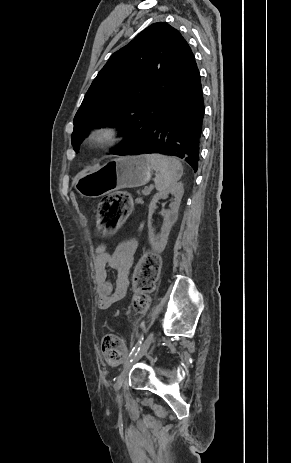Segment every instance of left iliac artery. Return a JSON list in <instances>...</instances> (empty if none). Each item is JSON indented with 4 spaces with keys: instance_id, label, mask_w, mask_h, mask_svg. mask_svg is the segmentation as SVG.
I'll list each match as a JSON object with an SVG mask.
<instances>
[{
    "instance_id": "1",
    "label": "left iliac artery",
    "mask_w": 291,
    "mask_h": 463,
    "mask_svg": "<svg viewBox=\"0 0 291 463\" xmlns=\"http://www.w3.org/2000/svg\"><path fill=\"white\" fill-rule=\"evenodd\" d=\"M144 337L141 336V338L138 340L137 344L133 347L132 351L130 352V354L128 355L126 361H125V364L124 366L129 363V362H132L133 360V357L137 354V352L139 351L140 349V346L142 344V341H143Z\"/></svg>"
}]
</instances>
